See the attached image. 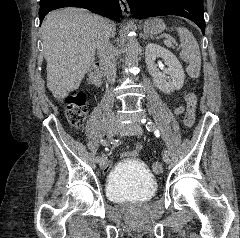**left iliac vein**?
<instances>
[{"mask_svg":"<svg viewBox=\"0 0 240 238\" xmlns=\"http://www.w3.org/2000/svg\"><path fill=\"white\" fill-rule=\"evenodd\" d=\"M142 132H143V129L138 123H129V124L123 126V130H122V133L125 135H129V134L141 135ZM163 161L166 164L170 163V158L167 154L163 155Z\"/></svg>","mask_w":240,"mask_h":238,"instance_id":"obj_1","label":"left iliac vein"}]
</instances>
